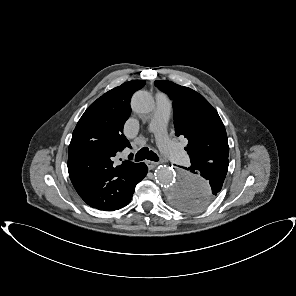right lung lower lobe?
Instances as JSON below:
<instances>
[{
    "instance_id": "right-lung-lower-lobe-1",
    "label": "right lung lower lobe",
    "mask_w": 296,
    "mask_h": 296,
    "mask_svg": "<svg viewBox=\"0 0 296 296\" xmlns=\"http://www.w3.org/2000/svg\"><path fill=\"white\" fill-rule=\"evenodd\" d=\"M147 174V166L145 163H138L134 170L132 171L131 175V195L129 201L126 203V205L131 201L132 195L134 193L135 186L138 182H140ZM124 205V206H126ZM123 206V207H124Z\"/></svg>"
}]
</instances>
